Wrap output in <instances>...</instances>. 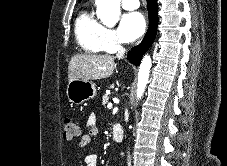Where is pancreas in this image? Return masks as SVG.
<instances>
[{
	"mask_svg": "<svg viewBox=\"0 0 227 166\" xmlns=\"http://www.w3.org/2000/svg\"><path fill=\"white\" fill-rule=\"evenodd\" d=\"M108 101H109V97H108V95L106 94V95L103 96L102 104L105 106V105L108 103Z\"/></svg>",
	"mask_w": 227,
	"mask_h": 166,
	"instance_id": "cf45deb5",
	"label": "pancreas"
}]
</instances>
